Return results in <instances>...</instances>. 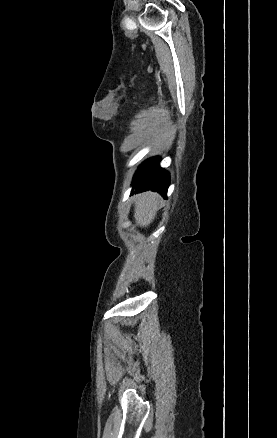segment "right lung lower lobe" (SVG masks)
<instances>
[{
  "label": "right lung lower lobe",
  "instance_id": "98d812e1",
  "mask_svg": "<svg viewBox=\"0 0 277 438\" xmlns=\"http://www.w3.org/2000/svg\"><path fill=\"white\" fill-rule=\"evenodd\" d=\"M160 158H150L138 168L134 180L133 189L136 193L142 191H157L166 198L170 183L169 173L159 166ZM134 191H132V194Z\"/></svg>",
  "mask_w": 277,
  "mask_h": 438
}]
</instances>
